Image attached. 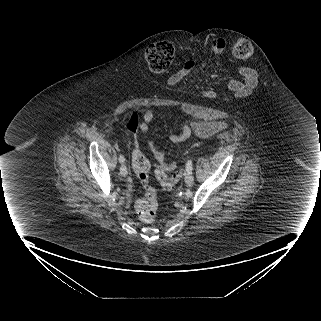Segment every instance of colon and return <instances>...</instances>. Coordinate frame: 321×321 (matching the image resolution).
<instances>
[{"label":"colon","instance_id":"1","mask_svg":"<svg viewBox=\"0 0 321 321\" xmlns=\"http://www.w3.org/2000/svg\"><path fill=\"white\" fill-rule=\"evenodd\" d=\"M252 53L251 43L244 38L238 39L232 49L234 59L242 60L248 58ZM145 60L151 70L155 72L166 71L175 58V48L169 42H160L148 46L144 53ZM139 124V114L136 111L128 113L124 126L129 131H135ZM133 170L145 186V194L135 203V209L139 219L144 223H152L157 216V194L154 188L148 185L149 162L139 150L137 144L134 146L132 158ZM181 174L176 173L172 176L159 173L158 178L166 188H173L180 179Z\"/></svg>","mask_w":321,"mask_h":321}]
</instances>
